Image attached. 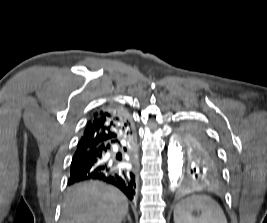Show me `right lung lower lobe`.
Masks as SVG:
<instances>
[{"mask_svg":"<svg viewBox=\"0 0 267 223\" xmlns=\"http://www.w3.org/2000/svg\"><path fill=\"white\" fill-rule=\"evenodd\" d=\"M132 135L131 125L123 131L120 138L75 154L71 162L68 185L85 180H100L118 187L132 200L135 195L136 176L129 169L116 167L113 162L114 150L119 148L127 152L128 148L122 146L121 141L130 142ZM116 159L122 160V155L117 153Z\"/></svg>","mask_w":267,"mask_h":223,"instance_id":"1","label":"right lung lower lobe"}]
</instances>
